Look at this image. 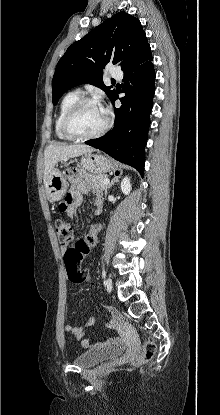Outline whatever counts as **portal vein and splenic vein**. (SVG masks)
<instances>
[{
	"instance_id": "18ae733b",
	"label": "portal vein and splenic vein",
	"mask_w": 220,
	"mask_h": 415,
	"mask_svg": "<svg viewBox=\"0 0 220 415\" xmlns=\"http://www.w3.org/2000/svg\"><path fill=\"white\" fill-rule=\"evenodd\" d=\"M109 182H110V180H109L108 178L104 179V181H103V183H104L105 185L109 184Z\"/></svg>"
}]
</instances>
